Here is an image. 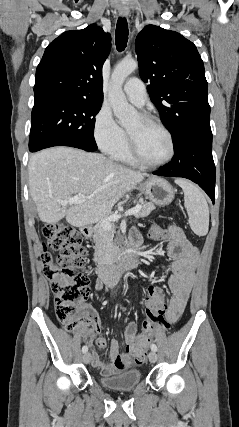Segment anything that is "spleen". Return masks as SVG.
Segmentation results:
<instances>
[{"label":"spleen","instance_id":"spleen-1","mask_svg":"<svg viewBox=\"0 0 239 427\" xmlns=\"http://www.w3.org/2000/svg\"><path fill=\"white\" fill-rule=\"evenodd\" d=\"M175 183L184 192V206L192 231L198 236H205L209 230V208L203 193L185 179H176Z\"/></svg>","mask_w":239,"mask_h":427}]
</instances>
